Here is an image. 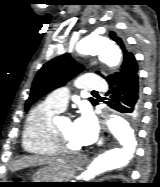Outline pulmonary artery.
Instances as JSON below:
<instances>
[{"instance_id":"1","label":"pulmonary artery","mask_w":160,"mask_h":187,"mask_svg":"<svg viewBox=\"0 0 160 187\" xmlns=\"http://www.w3.org/2000/svg\"><path fill=\"white\" fill-rule=\"evenodd\" d=\"M77 86L83 91H101L107 88L106 82L95 74L82 75L77 80ZM69 96V89L67 87H62L50 93L46 100L63 110L68 103Z\"/></svg>"}]
</instances>
